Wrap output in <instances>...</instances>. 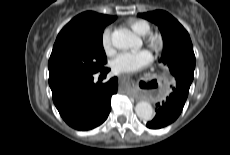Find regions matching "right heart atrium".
<instances>
[{"instance_id":"1","label":"right heart atrium","mask_w":230,"mask_h":155,"mask_svg":"<svg viewBox=\"0 0 230 155\" xmlns=\"http://www.w3.org/2000/svg\"><path fill=\"white\" fill-rule=\"evenodd\" d=\"M102 46L107 53L113 50L112 30L110 28H107L102 34Z\"/></svg>"}]
</instances>
